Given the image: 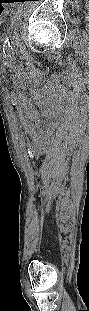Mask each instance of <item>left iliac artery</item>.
<instances>
[{
  "label": "left iliac artery",
  "mask_w": 89,
  "mask_h": 311,
  "mask_svg": "<svg viewBox=\"0 0 89 311\" xmlns=\"http://www.w3.org/2000/svg\"><path fill=\"white\" fill-rule=\"evenodd\" d=\"M3 46L5 47L6 50L12 48L11 45H10V36L7 35L5 37V41H4V45Z\"/></svg>",
  "instance_id": "left-iliac-artery-1"
}]
</instances>
